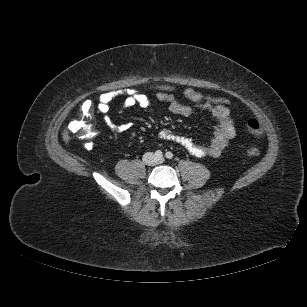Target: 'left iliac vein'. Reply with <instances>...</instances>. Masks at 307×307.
<instances>
[{
	"instance_id": "4c4485c4",
	"label": "left iliac vein",
	"mask_w": 307,
	"mask_h": 307,
	"mask_svg": "<svg viewBox=\"0 0 307 307\" xmlns=\"http://www.w3.org/2000/svg\"><path fill=\"white\" fill-rule=\"evenodd\" d=\"M164 161L163 158L158 159V163H162Z\"/></svg>"
}]
</instances>
